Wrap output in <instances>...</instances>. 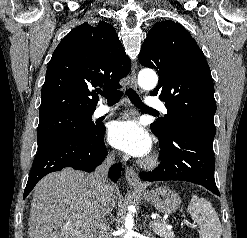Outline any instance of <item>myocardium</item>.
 <instances>
[{"label": "myocardium", "instance_id": "1", "mask_svg": "<svg viewBox=\"0 0 247 238\" xmlns=\"http://www.w3.org/2000/svg\"><path fill=\"white\" fill-rule=\"evenodd\" d=\"M157 164H158V160L156 156H149L142 162V165L148 169H152L156 167Z\"/></svg>", "mask_w": 247, "mask_h": 238}]
</instances>
